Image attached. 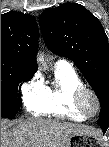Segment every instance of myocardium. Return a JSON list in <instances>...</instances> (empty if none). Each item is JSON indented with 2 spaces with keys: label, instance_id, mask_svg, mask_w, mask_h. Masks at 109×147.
Segmentation results:
<instances>
[{
  "label": "myocardium",
  "instance_id": "1",
  "mask_svg": "<svg viewBox=\"0 0 109 147\" xmlns=\"http://www.w3.org/2000/svg\"><path fill=\"white\" fill-rule=\"evenodd\" d=\"M87 94L92 95L94 97V99L96 100L97 107H96V111L94 114L88 113L83 106V98ZM73 105H74V108L80 114L89 118V117H93L99 113L100 108H101V101H100L99 96L97 95V93L94 90L84 86V87L80 88L79 90H77V92L75 93L74 98H73Z\"/></svg>",
  "mask_w": 109,
  "mask_h": 147
}]
</instances>
